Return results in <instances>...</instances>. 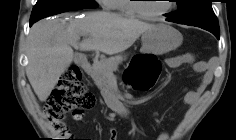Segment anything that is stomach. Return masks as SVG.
Listing matches in <instances>:
<instances>
[{"instance_id": "stomach-1", "label": "stomach", "mask_w": 236, "mask_h": 140, "mask_svg": "<svg viewBox=\"0 0 236 140\" xmlns=\"http://www.w3.org/2000/svg\"><path fill=\"white\" fill-rule=\"evenodd\" d=\"M183 41L182 34L174 27L159 23L142 34V54L162 55L177 49Z\"/></svg>"}]
</instances>
